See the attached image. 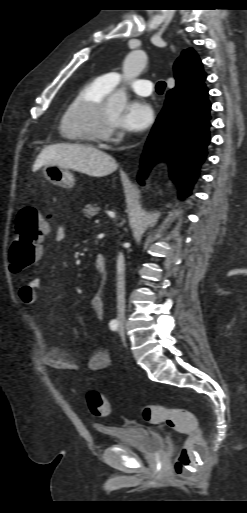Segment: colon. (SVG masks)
<instances>
[{
	"mask_svg": "<svg viewBox=\"0 0 247 513\" xmlns=\"http://www.w3.org/2000/svg\"><path fill=\"white\" fill-rule=\"evenodd\" d=\"M48 231L49 225L36 207L27 206L19 212L9 252L10 266L14 272L23 271L32 265L41 254V243ZM86 403L96 417H107L110 414L109 402L98 391L88 392ZM140 413L148 423L165 424L186 435L173 469L179 478H195L207 455L195 415L185 409L159 405H143L140 407Z\"/></svg>",
	"mask_w": 247,
	"mask_h": 513,
	"instance_id": "colon-1",
	"label": "colon"
}]
</instances>
